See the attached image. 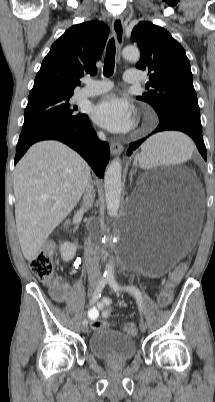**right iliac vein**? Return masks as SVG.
I'll return each mask as SVG.
<instances>
[{
  "label": "right iliac vein",
  "instance_id": "obj_1",
  "mask_svg": "<svg viewBox=\"0 0 215 402\" xmlns=\"http://www.w3.org/2000/svg\"><path fill=\"white\" fill-rule=\"evenodd\" d=\"M83 333H87L88 332V326L87 325H83L81 328Z\"/></svg>",
  "mask_w": 215,
  "mask_h": 402
}]
</instances>
